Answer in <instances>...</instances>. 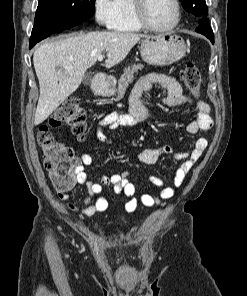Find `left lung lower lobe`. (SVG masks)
<instances>
[{
    "mask_svg": "<svg viewBox=\"0 0 247 296\" xmlns=\"http://www.w3.org/2000/svg\"><path fill=\"white\" fill-rule=\"evenodd\" d=\"M197 32L205 35L212 43H214V34L207 20L201 21L200 26L196 29Z\"/></svg>",
    "mask_w": 247,
    "mask_h": 296,
    "instance_id": "left-lung-lower-lobe-1",
    "label": "left lung lower lobe"
}]
</instances>
